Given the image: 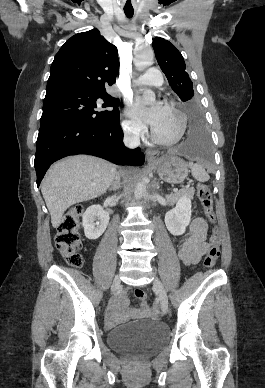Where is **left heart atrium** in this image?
<instances>
[{"label":"left heart atrium","instance_id":"1","mask_svg":"<svg viewBox=\"0 0 265 388\" xmlns=\"http://www.w3.org/2000/svg\"><path fill=\"white\" fill-rule=\"evenodd\" d=\"M146 101V100H145ZM143 98H136L132 108L133 114L141 120H144L150 124L156 125L161 118L164 107L162 104L157 103L151 108L146 107V102Z\"/></svg>","mask_w":265,"mask_h":388}]
</instances>
